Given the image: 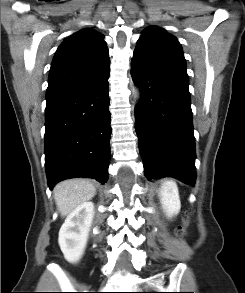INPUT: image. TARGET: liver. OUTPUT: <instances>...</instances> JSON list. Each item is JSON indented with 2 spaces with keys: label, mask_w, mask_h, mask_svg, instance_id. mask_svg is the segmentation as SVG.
<instances>
[{
  "label": "liver",
  "mask_w": 245,
  "mask_h": 293,
  "mask_svg": "<svg viewBox=\"0 0 245 293\" xmlns=\"http://www.w3.org/2000/svg\"><path fill=\"white\" fill-rule=\"evenodd\" d=\"M56 206L61 216H67L77 206L96 194L95 186L85 179H70L57 184L53 190Z\"/></svg>",
  "instance_id": "obj_1"
}]
</instances>
